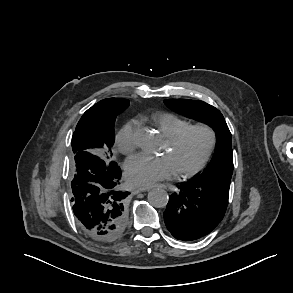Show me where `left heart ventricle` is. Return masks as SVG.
<instances>
[{"label": "left heart ventricle", "mask_w": 293, "mask_h": 293, "mask_svg": "<svg viewBox=\"0 0 293 293\" xmlns=\"http://www.w3.org/2000/svg\"><path fill=\"white\" fill-rule=\"evenodd\" d=\"M207 143V135L202 130L189 132L184 139L175 146L165 144L164 154L169 156L176 172L185 170L200 158Z\"/></svg>", "instance_id": "b2bd125f"}]
</instances>
